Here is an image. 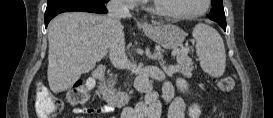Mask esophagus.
Segmentation results:
<instances>
[{
	"mask_svg": "<svg viewBox=\"0 0 273 118\" xmlns=\"http://www.w3.org/2000/svg\"><path fill=\"white\" fill-rule=\"evenodd\" d=\"M142 25H143V27H148L149 26V24L147 22H144Z\"/></svg>",
	"mask_w": 273,
	"mask_h": 118,
	"instance_id": "34e87169",
	"label": "esophagus"
}]
</instances>
